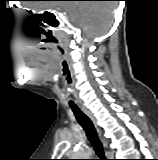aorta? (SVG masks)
<instances>
[{"label":"aorta","instance_id":"762f6f07","mask_svg":"<svg viewBox=\"0 0 158 160\" xmlns=\"http://www.w3.org/2000/svg\"><path fill=\"white\" fill-rule=\"evenodd\" d=\"M91 155L90 149L86 146H80L74 152L73 159H89Z\"/></svg>","mask_w":158,"mask_h":160}]
</instances>
